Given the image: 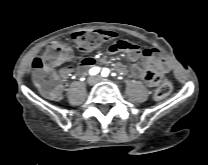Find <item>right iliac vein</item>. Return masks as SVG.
<instances>
[{
    "label": "right iliac vein",
    "mask_w": 208,
    "mask_h": 165,
    "mask_svg": "<svg viewBox=\"0 0 208 165\" xmlns=\"http://www.w3.org/2000/svg\"><path fill=\"white\" fill-rule=\"evenodd\" d=\"M87 82H88V84H90V85H94L95 82H96V80H95V78H93V77H89Z\"/></svg>",
    "instance_id": "1"
}]
</instances>
